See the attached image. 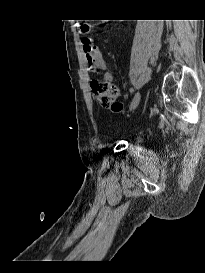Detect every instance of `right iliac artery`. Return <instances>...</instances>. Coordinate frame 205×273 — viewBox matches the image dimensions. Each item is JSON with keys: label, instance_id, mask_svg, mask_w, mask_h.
<instances>
[{"label": "right iliac artery", "instance_id": "82829eb1", "mask_svg": "<svg viewBox=\"0 0 205 273\" xmlns=\"http://www.w3.org/2000/svg\"><path fill=\"white\" fill-rule=\"evenodd\" d=\"M130 92L132 93V92H133V89H130Z\"/></svg>", "mask_w": 205, "mask_h": 273}]
</instances>
